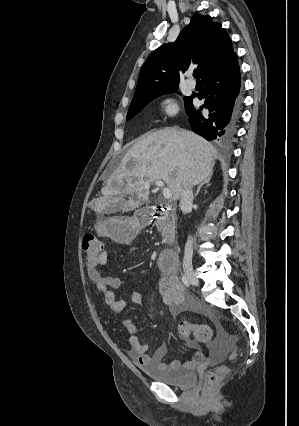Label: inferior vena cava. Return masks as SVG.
I'll use <instances>...</instances> for the list:
<instances>
[{
	"instance_id": "inferior-vena-cava-1",
	"label": "inferior vena cava",
	"mask_w": 299,
	"mask_h": 426,
	"mask_svg": "<svg viewBox=\"0 0 299 426\" xmlns=\"http://www.w3.org/2000/svg\"><path fill=\"white\" fill-rule=\"evenodd\" d=\"M193 198L194 196H193V191L191 187L182 188L179 206L183 213L192 208ZM192 257H193V241H192V237L189 236L185 245L184 257H183V266L185 268L192 267Z\"/></svg>"
}]
</instances>
